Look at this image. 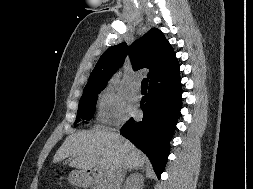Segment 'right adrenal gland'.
<instances>
[{
  "label": "right adrenal gland",
  "mask_w": 253,
  "mask_h": 189,
  "mask_svg": "<svg viewBox=\"0 0 253 189\" xmlns=\"http://www.w3.org/2000/svg\"><path fill=\"white\" fill-rule=\"evenodd\" d=\"M139 168H136V170H138ZM131 170H133V169H128V172H130ZM123 180H124V178H123ZM123 182V181H122Z\"/></svg>",
  "instance_id": "1"
}]
</instances>
